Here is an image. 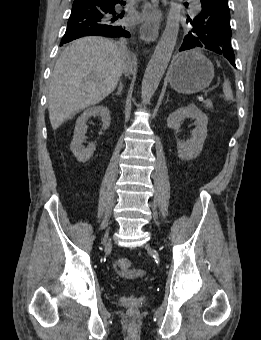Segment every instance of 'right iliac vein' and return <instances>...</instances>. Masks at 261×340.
<instances>
[{
	"mask_svg": "<svg viewBox=\"0 0 261 340\" xmlns=\"http://www.w3.org/2000/svg\"><path fill=\"white\" fill-rule=\"evenodd\" d=\"M105 239H106L107 241H109V238H108V236H106V237H105Z\"/></svg>",
	"mask_w": 261,
	"mask_h": 340,
	"instance_id": "obj_1",
	"label": "right iliac vein"
}]
</instances>
